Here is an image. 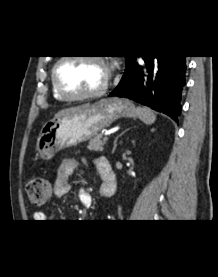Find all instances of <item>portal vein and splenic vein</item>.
<instances>
[{
  "label": "portal vein and splenic vein",
  "mask_w": 218,
  "mask_h": 277,
  "mask_svg": "<svg viewBox=\"0 0 218 277\" xmlns=\"http://www.w3.org/2000/svg\"><path fill=\"white\" fill-rule=\"evenodd\" d=\"M103 141H104V142H107V141H108V136H105V137L103 138Z\"/></svg>",
  "instance_id": "1"
}]
</instances>
